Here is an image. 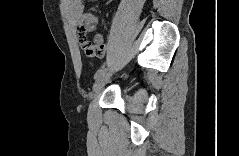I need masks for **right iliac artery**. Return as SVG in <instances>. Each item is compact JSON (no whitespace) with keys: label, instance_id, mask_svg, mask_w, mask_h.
<instances>
[{"label":"right iliac artery","instance_id":"1","mask_svg":"<svg viewBox=\"0 0 239 156\" xmlns=\"http://www.w3.org/2000/svg\"><path fill=\"white\" fill-rule=\"evenodd\" d=\"M105 70H106V69H104V68L99 69V70L95 73L94 79H98L101 75H103V74L105 73Z\"/></svg>","mask_w":239,"mask_h":156}]
</instances>
